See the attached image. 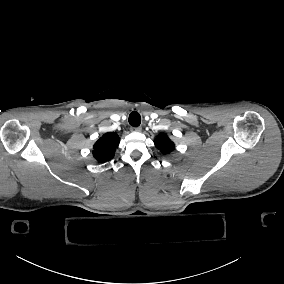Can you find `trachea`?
I'll list each match as a JSON object with an SVG mask.
<instances>
[{
	"mask_svg": "<svg viewBox=\"0 0 284 284\" xmlns=\"http://www.w3.org/2000/svg\"><path fill=\"white\" fill-rule=\"evenodd\" d=\"M141 123V117L138 112L133 111L129 115V124L133 127H138Z\"/></svg>",
	"mask_w": 284,
	"mask_h": 284,
	"instance_id": "obj_1",
	"label": "trachea"
}]
</instances>
